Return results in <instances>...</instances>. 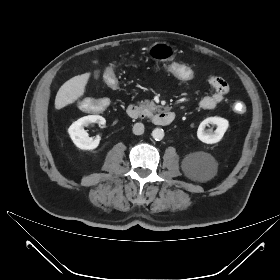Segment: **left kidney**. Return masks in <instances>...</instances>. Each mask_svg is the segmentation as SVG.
Wrapping results in <instances>:
<instances>
[{
	"label": "left kidney",
	"instance_id": "left-kidney-1",
	"mask_svg": "<svg viewBox=\"0 0 280 280\" xmlns=\"http://www.w3.org/2000/svg\"><path fill=\"white\" fill-rule=\"evenodd\" d=\"M214 124L217 126L216 130L213 132L212 130H205L206 125ZM229 127L228 120L221 117H208L203 120L197 130V137L200 141L206 144H214L219 142L224 133Z\"/></svg>",
	"mask_w": 280,
	"mask_h": 280
}]
</instances>
